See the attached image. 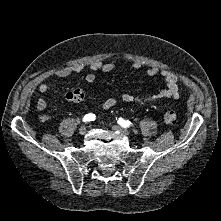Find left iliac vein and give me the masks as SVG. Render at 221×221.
Masks as SVG:
<instances>
[{
    "instance_id": "1",
    "label": "left iliac vein",
    "mask_w": 221,
    "mask_h": 221,
    "mask_svg": "<svg viewBox=\"0 0 221 221\" xmlns=\"http://www.w3.org/2000/svg\"><path fill=\"white\" fill-rule=\"evenodd\" d=\"M112 128H113V130L118 131L119 133H121L123 135L128 136L130 134L129 130H127L126 128H123L119 125H114Z\"/></svg>"
}]
</instances>
